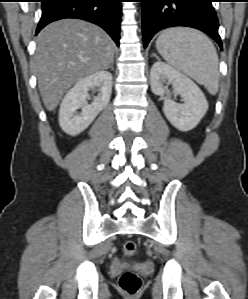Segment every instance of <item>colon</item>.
Segmentation results:
<instances>
[{"instance_id":"colon-1","label":"colon","mask_w":248,"mask_h":299,"mask_svg":"<svg viewBox=\"0 0 248 299\" xmlns=\"http://www.w3.org/2000/svg\"><path fill=\"white\" fill-rule=\"evenodd\" d=\"M123 250L126 256H132L136 251V242L127 240L124 243ZM118 284L124 294L134 296L140 291L142 282L137 273L126 271L120 276Z\"/></svg>"}]
</instances>
